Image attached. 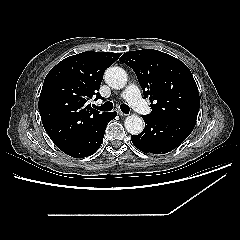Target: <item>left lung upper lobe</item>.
<instances>
[{
    "instance_id": "obj_1",
    "label": "left lung upper lobe",
    "mask_w": 240,
    "mask_h": 240,
    "mask_svg": "<svg viewBox=\"0 0 240 240\" xmlns=\"http://www.w3.org/2000/svg\"><path fill=\"white\" fill-rule=\"evenodd\" d=\"M131 67L149 97L153 119H197L200 98L188 67L177 58L153 49L127 52L120 58Z\"/></svg>"
}]
</instances>
